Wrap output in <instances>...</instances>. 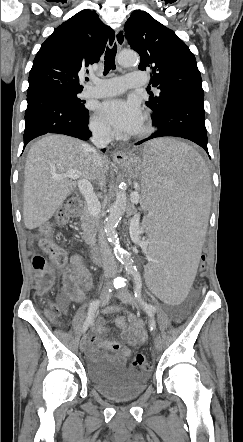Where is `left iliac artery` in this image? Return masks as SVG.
Wrapping results in <instances>:
<instances>
[{
    "instance_id": "1",
    "label": "left iliac artery",
    "mask_w": 243,
    "mask_h": 442,
    "mask_svg": "<svg viewBox=\"0 0 243 442\" xmlns=\"http://www.w3.org/2000/svg\"><path fill=\"white\" fill-rule=\"evenodd\" d=\"M132 275L134 276V278H135V283H136V284H135V288H134V296H135L136 300L139 302V304L143 307V309L145 310V312H146L149 316H153L154 313L156 312V308H155L153 305H151V304L145 302V301L142 299V295H141V283H140V281L137 279L138 276H139V273H138L137 270H136V271H133V272H132ZM153 328H155V323L151 326V330H152Z\"/></svg>"
}]
</instances>
